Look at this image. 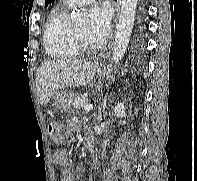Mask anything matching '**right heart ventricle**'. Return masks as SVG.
I'll return each mask as SVG.
<instances>
[{"mask_svg": "<svg viewBox=\"0 0 197 181\" xmlns=\"http://www.w3.org/2000/svg\"><path fill=\"white\" fill-rule=\"evenodd\" d=\"M71 28L66 12H53L46 23L43 44L46 54L54 59H69L79 55L71 39Z\"/></svg>", "mask_w": 197, "mask_h": 181, "instance_id": "1", "label": "right heart ventricle"}]
</instances>
